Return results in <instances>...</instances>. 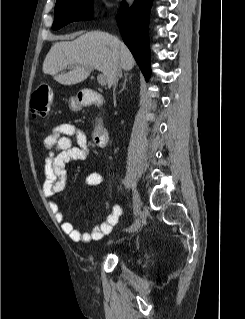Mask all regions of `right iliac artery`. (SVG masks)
I'll return each instance as SVG.
<instances>
[{
  "label": "right iliac artery",
  "mask_w": 245,
  "mask_h": 319,
  "mask_svg": "<svg viewBox=\"0 0 245 319\" xmlns=\"http://www.w3.org/2000/svg\"><path fill=\"white\" fill-rule=\"evenodd\" d=\"M135 222H136L137 224L140 223L139 220H136ZM126 231H128V232H134V231H135V226H134V225L130 226L128 229H126Z\"/></svg>",
  "instance_id": "obj_1"
}]
</instances>
